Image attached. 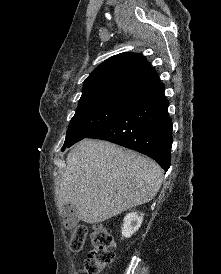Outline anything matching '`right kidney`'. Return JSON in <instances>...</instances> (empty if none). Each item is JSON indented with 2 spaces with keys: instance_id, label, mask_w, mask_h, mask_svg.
I'll return each mask as SVG.
<instances>
[{
  "instance_id": "obj_1",
  "label": "right kidney",
  "mask_w": 221,
  "mask_h": 274,
  "mask_svg": "<svg viewBox=\"0 0 221 274\" xmlns=\"http://www.w3.org/2000/svg\"><path fill=\"white\" fill-rule=\"evenodd\" d=\"M143 214L138 215L137 212L128 213L124 217L122 226V237L130 238L141 226Z\"/></svg>"
}]
</instances>
